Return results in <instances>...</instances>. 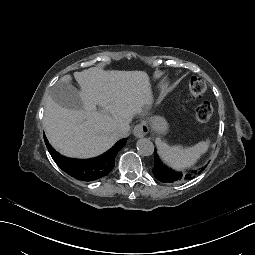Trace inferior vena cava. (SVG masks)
<instances>
[{
	"label": "inferior vena cava",
	"mask_w": 255,
	"mask_h": 255,
	"mask_svg": "<svg viewBox=\"0 0 255 255\" xmlns=\"http://www.w3.org/2000/svg\"><path fill=\"white\" fill-rule=\"evenodd\" d=\"M129 130H130L129 123L121 124L117 129L116 133L117 139L127 138L129 136Z\"/></svg>",
	"instance_id": "1"
}]
</instances>
